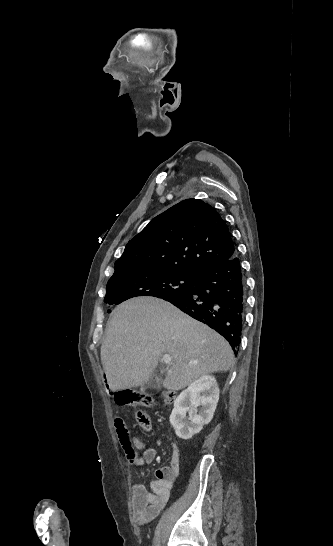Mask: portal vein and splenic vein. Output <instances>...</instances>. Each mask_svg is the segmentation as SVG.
<instances>
[{"label":"portal vein and splenic vein","instance_id":"obj_1","mask_svg":"<svg viewBox=\"0 0 333 546\" xmlns=\"http://www.w3.org/2000/svg\"><path fill=\"white\" fill-rule=\"evenodd\" d=\"M162 360L166 363V364H170L171 361H172V358L169 354H164L163 357H162Z\"/></svg>","mask_w":333,"mask_h":546}]
</instances>
